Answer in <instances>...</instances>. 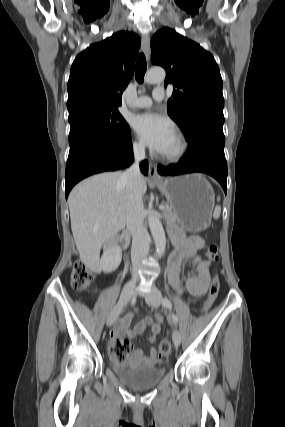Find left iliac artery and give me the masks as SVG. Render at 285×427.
Wrapping results in <instances>:
<instances>
[{
	"mask_svg": "<svg viewBox=\"0 0 285 427\" xmlns=\"http://www.w3.org/2000/svg\"><path fill=\"white\" fill-rule=\"evenodd\" d=\"M162 303H163V305H164L166 308H168L170 311L172 310V303H171V301H170L167 297H164V298H163ZM172 320H173V322H174V323H177V322H178V317H177L174 313H172Z\"/></svg>",
	"mask_w": 285,
	"mask_h": 427,
	"instance_id": "44dca946",
	"label": "left iliac artery"
}]
</instances>
